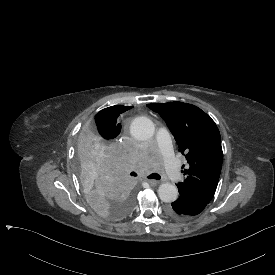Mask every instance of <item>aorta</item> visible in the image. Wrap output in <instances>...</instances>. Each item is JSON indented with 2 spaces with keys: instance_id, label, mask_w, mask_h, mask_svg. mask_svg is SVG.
Listing matches in <instances>:
<instances>
[{
  "instance_id": "aorta-1",
  "label": "aorta",
  "mask_w": 275,
  "mask_h": 275,
  "mask_svg": "<svg viewBox=\"0 0 275 275\" xmlns=\"http://www.w3.org/2000/svg\"><path fill=\"white\" fill-rule=\"evenodd\" d=\"M131 135L137 140H147L154 134V123L147 117H136L130 126ZM161 201L171 203L178 199V189L170 183H163L158 189Z\"/></svg>"
}]
</instances>
